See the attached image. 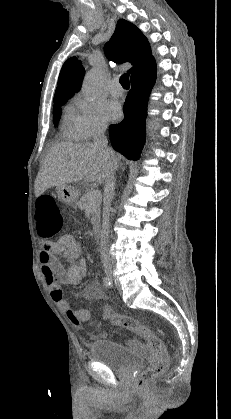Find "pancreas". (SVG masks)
I'll list each match as a JSON object with an SVG mask.
<instances>
[{"instance_id": "pancreas-1", "label": "pancreas", "mask_w": 231, "mask_h": 419, "mask_svg": "<svg viewBox=\"0 0 231 419\" xmlns=\"http://www.w3.org/2000/svg\"><path fill=\"white\" fill-rule=\"evenodd\" d=\"M91 191L87 190L82 197L80 198V200L76 203V205L82 210L85 209L86 207H90L91 208V222L94 223L96 222V220L98 219L99 215H100V206H101V198L95 199L90 201L88 198V194Z\"/></svg>"}]
</instances>
